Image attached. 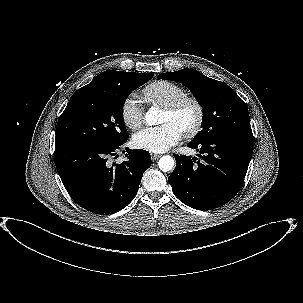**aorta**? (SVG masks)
Here are the masks:
<instances>
[{
    "mask_svg": "<svg viewBox=\"0 0 303 303\" xmlns=\"http://www.w3.org/2000/svg\"><path fill=\"white\" fill-rule=\"evenodd\" d=\"M158 117H159V110L155 107L150 108L145 115L146 122L149 125L157 124ZM158 165L161 171L168 172L172 170L174 167V159L169 155H165L160 158Z\"/></svg>",
    "mask_w": 303,
    "mask_h": 303,
    "instance_id": "obj_1",
    "label": "aorta"
}]
</instances>
